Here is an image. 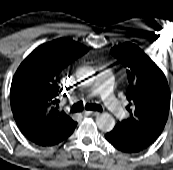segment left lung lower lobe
Here are the masks:
<instances>
[{
	"mask_svg": "<svg viewBox=\"0 0 173 170\" xmlns=\"http://www.w3.org/2000/svg\"><path fill=\"white\" fill-rule=\"evenodd\" d=\"M106 140L116 149L124 153H138L147 148L129 137L124 136L121 132L113 129L105 135Z\"/></svg>",
	"mask_w": 173,
	"mask_h": 170,
	"instance_id": "0a47b994",
	"label": "left lung lower lobe"
}]
</instances>
